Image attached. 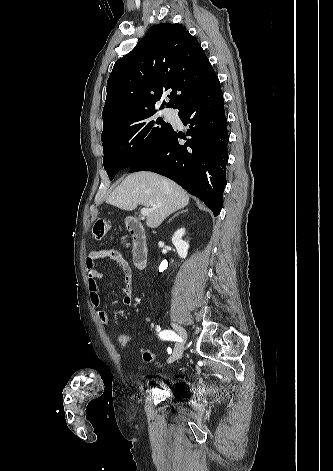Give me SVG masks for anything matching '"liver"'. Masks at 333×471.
I'll return each instance as SVG.
<instances>
[{"label": "liver", "mask_w": 333, "mask_h": 471, "mask_svg": "<svg viewBox=\"0 0 333 471\" xmlns=\"http://www.w3.org/2000/svg\"><path fill=\"white\" fill-rule=\"evenodd\" d=\"M106 203L126 211L138 204L153 209L146 225L157 228L170 214L189 203L186 191L174 181L152 172H137L127 176L106 198Z\"/></svg>", "instance_id": "6515ba94"}]
</instances>
